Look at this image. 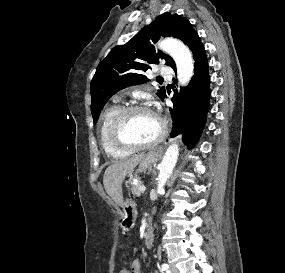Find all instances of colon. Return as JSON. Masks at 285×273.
<instances>
[{
    "instance_id": "colon-1",
    "label": "colon",
    "mask_w": 285,
    "mask_h": 273,
    "mask_svg": "<svg viewBox=\"0 0 285 273\" xmlns=\"http://www.w3.org/2000/svg\"><path fill=\"white\" fill-rule=\"evenodd\" d=\"M125 268H121L118 273H124Z\"/></svg>"
}]
</instances>
